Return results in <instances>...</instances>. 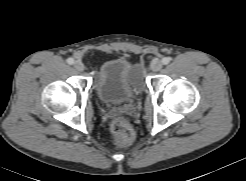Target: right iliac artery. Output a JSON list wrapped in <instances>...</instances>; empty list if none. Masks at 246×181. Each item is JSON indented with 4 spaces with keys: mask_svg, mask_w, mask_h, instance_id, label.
Masks as SVG:
<instances>
[{
    "mask_svg": "<svg viewBox=\"0 0 246 181\" xmlns=\"http://www.w3.org/2000/svg\"><path fill=\"white\" fill-rule=\"evenodd\" d=\"M67 63L72 65L74 63V59L73 58H68L67 59Z\"/></svg>",
    "mask_w": 246,
    "mask_h": 181,
    "instance_id": "right-iliac-artery-1",
    "label": "right iliac artery"
}]
</instances>
